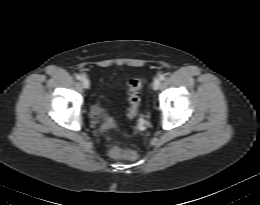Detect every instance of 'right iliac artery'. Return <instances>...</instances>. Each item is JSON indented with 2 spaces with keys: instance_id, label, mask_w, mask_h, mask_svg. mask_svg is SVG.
<instances>
[{
  "instance_id": "82829eb1",
  "label": "right iliac artery",
  "mask_w": 260,
  "mask_h": 205,
  "mask_svg": "<svg viewBox=\"0 0 260 205\" xmlns=\"http://www.w3.org/2000/svg\"><path fill=\"white\" fill-rule=\"evenodd\" d=\"M76 79H77V80H81V79H82V76L78 74V75H76Z\"/></svg>"
}]
</instances>
